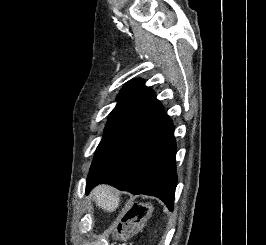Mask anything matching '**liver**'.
I'll list each match as a JSON object with an SVG mask.
<instances>
[{
    "label": "liver",
    "instance_id": "obj_1",
    "mask_svg": "<svg viewBox=\"0 0 266 245\" xmlns=\"http://www.w3.org/2000/svg\"><path fill=\"white\" fill-rule=\"evenodd\" d=\"M91 197H93L96 207L104 209L106 213H113L120 205L118 193H116L112 187H108V185H99V187H95L91 193Z\"/></svg>",
    "mask_w": 266,
    "mask_h": 245
}]
</instances>
